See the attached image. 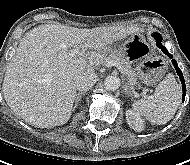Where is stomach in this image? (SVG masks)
<instances>
[{"label":"stomach","instance_id":"obj_1","mask_svg":"<svg viewBox=\"0 0 190 165\" xmlns=\"http://www.w3.org/2000/svg\"><path fill=\"white\" fill-rule=\"evenodd\" d=\"M111 50L118 51L130 71L145 85L156 84L165 72V60L159 52L153 51L149 39L144 35H126L119 42L108 45L103 54Z\"/></svg>","mask_w":190,"mask_h":165}]
</instances>
